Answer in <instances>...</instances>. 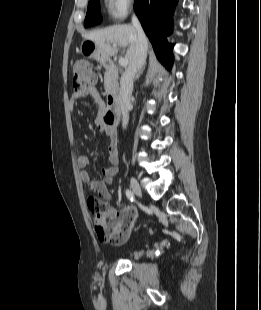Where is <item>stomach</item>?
<instances>
[{
	"instance_id": "obj_1",
	"label": "stomach",
	"mask_w": 261,
	"mask_h": 310,
	"mask_svg": "<svg viewBox=\"0 0 261 310\" xmlns=\"http://www.w3.org/2000/svg\"><path fill=\"white\" fill-rule=\"evenodd\" d=\"M80 52L82 53V55L89 57V58H93L97 60L102 59L101 53H99L97 46L91 40H84L82 42L80 46Z\"/></svg>"
}]
</instances>
